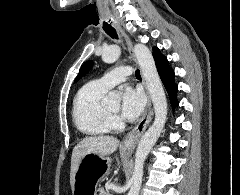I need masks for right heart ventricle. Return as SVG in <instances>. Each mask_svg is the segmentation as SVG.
Wrapping results in <instances>:
<instances>
[{"label": "right heart ventricle", "mask_w": 240, "mask_h": 195, "mask_svg": "<svg viewBox=\"0 0 240 195\" xmlns=\"http://www.w3.org/2000/svg\"><path fill=\"white\" fill-rule=\"evenodd\" d=\"M108 90L103 83L91 81L77 94L73 119L82 133L97 137L110 132L112 124L105 104Z\"/></svg>", "instance_id": "right-heart-ventricle-1"}]
</instances>
